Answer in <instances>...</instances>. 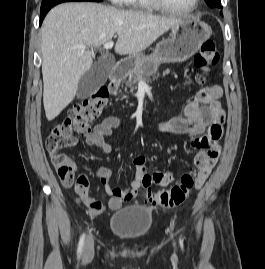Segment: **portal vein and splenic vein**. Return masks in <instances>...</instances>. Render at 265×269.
Masks as SVG:
<instances>
[{"label": "portal vein and splenic vein", "mask_w": 265, "mask_h": 269, "mask_svg": "<svg viewBox=\"0 0 265 269\" xmlns=\"http://www.w3.org/2000/svg\"><path fill=\"white\" fill-rule=\"evenodd\" d=\"M113 45H114V42L113 41H108V42L104 43L103 48L106 49V50H108V49H111L113 47ZM78 49L85 50L86 49V46L80 45V46H78ZM140 83H144V82L143 81H140Z\"/></svg>", "instance_id": "18ae733b"}]
</instances>
